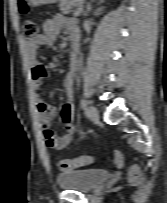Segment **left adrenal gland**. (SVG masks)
<instances>
[{
    "label": "left adrenal gland",
    "mask_w": 167,
    "mask_h": 203,
    "mask_svg": "<svg viewBox=\"0 0 167 203\" xmlns=\"http://www.w3.org/2000/svg\"><path fill=\"white\" fill-rule=\"evenodd\" d=\"M91 1H94V0H91ZM100 2H103V0H100ZM92 10V7H91V4L88 3L87 6H86V10L83 12V15L84 16H87L88 13Z\"/></svg>",
    "instance_id": "a2214340"
}]
</instances>
